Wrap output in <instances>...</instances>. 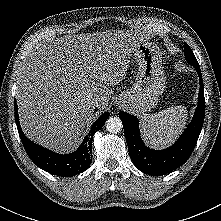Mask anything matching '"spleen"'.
I'll return each instance as SVG.
<instances>
[{"label":"spleen","mask_w":221,"mask_h":221,"mask_svg":"<svg viewBox=\"0 0 221 221\" xmlns=\"http://www.w3.org/2000/svg\"><path fill=\"white\" fill-rule=\"evenodd\" d=\"M187 109L174 106L156 114L141 116V129L144 139L152 146L164 147L179 135L186 125Z\"/></svg>","instance_id":"3e777b00"}]
</instances>
